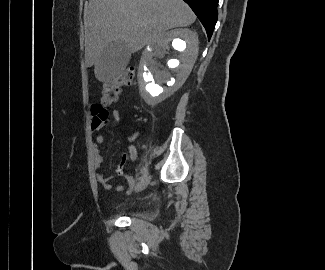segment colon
Here are the masks:
<instances>
[{
	"label": "colon",
	"instance_id": "1",
	"mask_svg": "<svg viewBox=\"0 0 325 270\" xmlns=\"http://www.w3.org/2000/svg\"><path fill=\"white\" fill-rule=\"evenodd\" d=\"M135 76V68L129 67L118 77L108 80L103 84L102 104L108 106L116 102L122 88L132 83Z\"/></svg>",
	"mask_w": 325,
	"mask_h": 270
}]
</instances>
